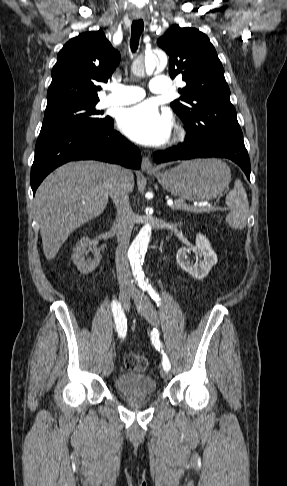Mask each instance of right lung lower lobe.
Returning a JSON list of instances; mask_svg holds the SVG:
<instances>
[{"label": "right lung lower lobe", "instance_id": "obj_1", "mask_svg": "<svg viewBox=\"0 0 287 486\" xmlns=\"http://www.w3.org/2000/svg\"><path fill=\"white\" fill-rule=\"evenodd\" d=\"M100 160L139 169V149L114 130V122L107 121L95 128L67 131L39 136L31 168L33 193L42 180L58 166L76 160Z\"/></svg>", "mask_w": 287, "mask_h": 486}]
</instances>
